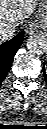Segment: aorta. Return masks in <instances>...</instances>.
Masks as SVG:
<instances>
[{
	"mask_svg": "<svg viewBox=\"0 0 47 129\" xmlns=\"http://www.w3.org/2000/svg\"><path fill=\"white\" fill-rule=\"evenodd\" d=\"M26 46L31 54L44 55L47 53V40L42 35L34 34L30 36Z\"/></svg>",
	"mask_w": 47,
	"mask_h": 129,
	"instance_id": "obj_1",
	"label": "aorta"
}]
</instances>
